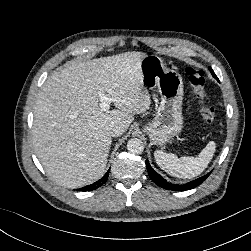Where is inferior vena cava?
<instances>
[{
    "label": "inferior vena cava",
    "mask_w": 251,
    "mask_h": 251,
    "mask_svg": "<svg viewBox=\"0 0 251 251\" xmlns=\"http://www.w3.org/2000/svg\"><path fill=\"white\" fill-rule=\"evenodd\" d=\"M123 133V129L120 126H113L110 129V135L112 137L120 136Z\"/></svg>",
    "instance_id": "obj_1"
}]
</instances>
